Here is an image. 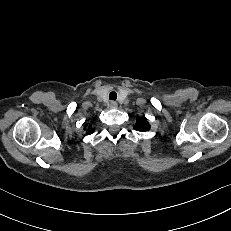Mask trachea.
<instances>
[{
    "label": "trachea",
    "mask_w": 231,
    "mask_h": 231,
    "mask_svg": "<svg viewBox=\"0 0 231 231\" xmlns=\"http://www.w3.org/2000/svg\"><path fill=\"white\" fill-rule=\"evenodd\" d=\"M109 99H110V100H116V99H117V94H116V92L112 91V92L109 94Z\"/></svg>",
    "instance_id": "1"
}]
</instances>
